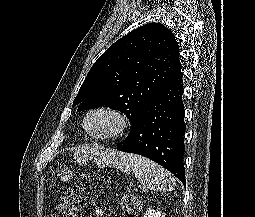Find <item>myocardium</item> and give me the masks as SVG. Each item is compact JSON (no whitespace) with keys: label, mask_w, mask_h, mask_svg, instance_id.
Masks as SVG:
<instances>
[{"label":"myocardium","mask_w":255,"mask_h":217,"mask_svg":"<svg viewBox=\"0 0 255 217\" xmlns=\"http://www.w3.org/2000/svg\"><path fill=\"white\" fill-rule=\"evenodd\" d=\"M98 113L109 115L114 119L115 124L110 131L105 133H100V134H94L87 129L86 123L88 119L90 118V116L94 114H98ZM128 126H129V118L126 115V113L115 106L107 105V104L99 105L89 109L84 115L82 120V128L84 132L91 138L97 139V140L116 139L124 134Z\"/></svg>","instance_id":"f54148a6"}]
</instances>
